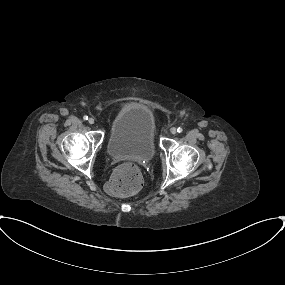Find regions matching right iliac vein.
I'll return each mask as SVG.
<instances>
[{"label": "right iliac vein", "mask_w": 285, "mask_h": 285, "mask_svg": "<svg viewBox=\"0 0 285 285\" xmlns=\"http://www.w3.org/2000/svg\"><path fill=\"white\" fill-rule=\"evenodd\" d=\"M88 123L92 125L95 123V120L93 118H89Z\"/></svg>", "instance_id": "63e3f726"}]
</instances>
